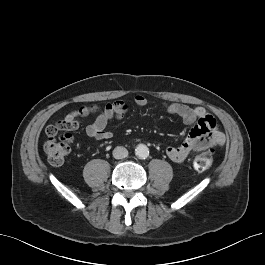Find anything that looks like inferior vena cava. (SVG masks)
<instances>
[{"label":"inferior vena cava","mask_w":265,"mask_h":265,"mask_svg":"<svg viewBox=\"0 0 265 265\" xmlns=\"http://www.w3.org/2000/svg\"><path fill=\"white\" fill-rule=\"evenodd\" d=\"M128 156V150L125 147L117 146L113 150V157L115 159H123Z\"/></svg>","instance_id":"1"}]
</instances>
